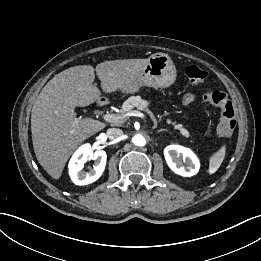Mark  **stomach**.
Masks as SVG:
<instances>
[{"label":"stomach","mask_w":261,"mask_h":261,"mask_svg":"<svg viewBox=\"0 0 261 261\" xmlns=\"http://www.w3.org/2000/svg\"><path fill=\"white\" fill-rule=\"evenodd\" d=\"M176 80V68L168 54L155 53L148 58L144 70L122 92L136 93L142 86L153 88H168Z\"/></svg>","instance_id":"1"}]
</instances>
